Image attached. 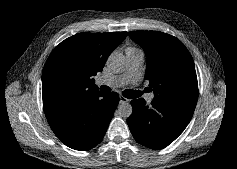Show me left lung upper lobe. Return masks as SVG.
<instances>
[{
    "instance_id": "5c2ea615",
    "label": "left lung upper lobe",
    "mask_w": 237,
    "mask_h": 169,
    "mask_svg": "<svg viewBox=\"0 0 237 169\" xmlns=\"http://www.w3.org/2000/svg\"><path fill=\"white\" fill-rule=\"evenodd\" d=\"M129 36L146 53L145 79L154 90V100L194 110L198 99L197 76L183 43L158 31H132Z\"/></svg>"
}]
</instances>
